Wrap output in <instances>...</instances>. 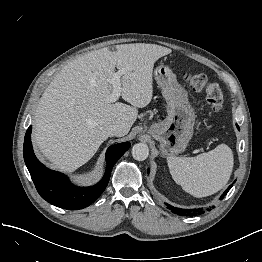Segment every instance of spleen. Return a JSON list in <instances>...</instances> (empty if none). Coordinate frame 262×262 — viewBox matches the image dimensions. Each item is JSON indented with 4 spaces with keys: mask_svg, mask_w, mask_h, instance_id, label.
Masks as SVG:
<instances>
[{
    "mask_svg": "<svg viewBox=\"0 0 262 262\" xmlns=\"http://www.w3.org/2000/svg\"><path fill=\"white\" fill-rule=\"evenodd\" d=\"M174 181L194 197H206L222 189L233 170V153L225 144L196 157H167Z\"/></svg>",
    "mask_w": 262,
    "mask_h": 262,
    "instance_id": "1",
    "label": "spleen"
}]
</instances>
